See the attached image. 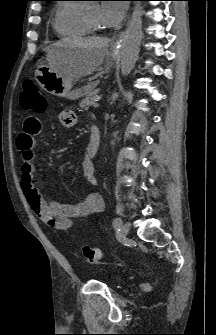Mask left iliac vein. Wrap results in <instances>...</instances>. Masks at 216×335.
Returning a JSON list of instances; mask_svg holds the SVG:
<instances>
[{
  "instance_id": "obj_1",
  "label": "left iliac vein",
  "mask_w": 216,
  "mask_h": 335,
  "mask_svg": "<svg viewBox=\"0 0 216 335\" xmlns=\"http://www.w3.org/2000/svg\"><path fill=\"white\" fill-rule=\"evenodd\" d=\"M129 229H130V223L129 222L124 223L121 228V235L123 237H126L129 232Z\"/></svg>"
}]
</instances>
